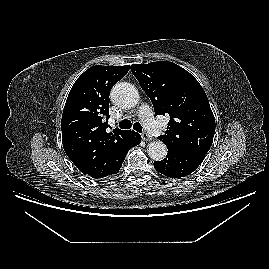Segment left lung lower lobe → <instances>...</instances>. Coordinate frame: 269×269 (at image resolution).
<instances>
[{"label": "left lung lower lobe", "mask_w": 269, "mask_h": 269, "mask_svg": "<svg viewBox=\"0 0 269 269\" xmlns=\"http://www.w3.org/2000/svg\"><path fill=\"white\" fill-rule=\"evenodd\" d=\"M205 154L181 153L168 150L166 158L154 162L155 169L171 178H180L192 173L203 161Z\"/></svg>", "instance_id": "left-lung-lower-lobe-1"}]
</instances>
